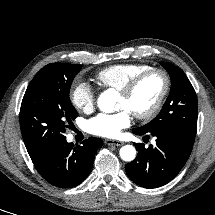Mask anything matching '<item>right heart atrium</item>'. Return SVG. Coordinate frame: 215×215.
I'll list each match as a JSON object with an SVG mask.
<instances>
[{
  "mask_svg": "<svg viewBox=\"0 0 215 215\" xmlns=\"http://www.w3.org/2000/svg\"><path fill=\"white\" fill-rule=\"evenodd\" d=\"M70 100L77 110L89 113L95 105V91L88 82L77 81L71 87Z\"/></svg>",
  "mask_w": 215,
  "mask_h": 215,
  "instance_id": "d8ad5b80",
  "label": "right heart atrium"
}]
</instances>
